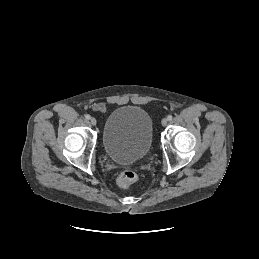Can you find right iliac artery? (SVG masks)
<instances>
[{"label": "right iliac artery", "mask_w": 259, "mask_h": 259, "mask_svg": "<svg viewBox=\"0 0 259 259\" xmlns=\"http://www.w3.org/2000/svg\"><path fill=\"white\" fill-rule=\"evenodd\" d=\"M85 118H86L87 120H89L91 117H90L89 114H87V115H85Z\"/></svg>", "instance_id": "1"}]
</instances>
